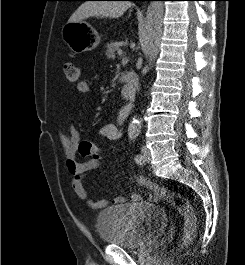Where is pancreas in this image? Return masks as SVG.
<instances>
[{"label":"pancreas","mask_w":245,"mask_h":265,"mask_svg":"<svg viewBox=\"0 0 245 265\" xmlns=\"http://www.w3.org/2000/svg\"><path fill=\"white\" fill-rule=\"evenodd\" d=\"M106 52L105 55L108 59H115V52L120 49V44L119 42H110L106 46Z\"/></svg>","instance_id":"1"}]
</instances>
